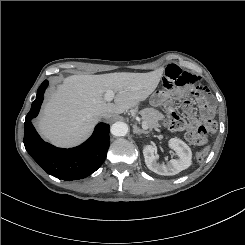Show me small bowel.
<instances>
[{
    "instance_id": "small-bowel-1",
    "label": "small bowel",
    "mask_w": 245,
    "mask_h": 245,
    "mask_svg": "<svg viewBox=\"0 0 245 245\" xmlns=\"http://www.w3.org/2000/svg\"><path fill=\"white\" fill-rule=\"evenodd\" d=\"M165 81L168 84V86H197L195 89L191 90L188 92L187 95V100L185 104V111L187 114L190 116L192 115V106L190 104L191 101L193 102H199L202 101L205 94L206 90L203 87L199 86V78L191 73L181 71L178 67L176 66H170L167 68L166 73H165ZM213 113V109L209 105H204L202 108V116L204 118H207L211 116ZM200 124V121L196 118L191 117V121L189 124V130H195L198 125Z\"/></svg>"
}]
</instances>
